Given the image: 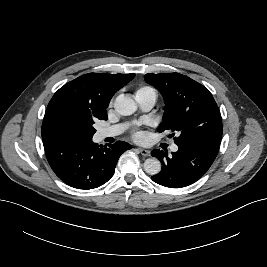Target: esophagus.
<instances>
[{
  "instance_id": "1",
  "label": "esophagus",
  "mask_w": 267,
  "mask_h": 267,
  "mask_svg": "<svg viewBox=\"0 0 267 267\" xmlns=\"http://www.w3.org/2000/svg\"><path fill=\"white\" fill-rule=\"evenodd\" d=\"M138 151L141 153L143 156H150V151L144 148H138Z\"/></svg>"
}]
</instances>
